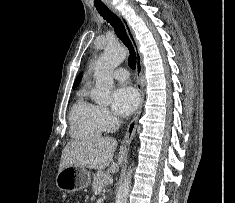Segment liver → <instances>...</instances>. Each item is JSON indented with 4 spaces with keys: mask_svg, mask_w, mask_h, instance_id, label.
<instances>
[{
    "mask_svg": "<svg viewBox=\"0 0 235 203\" xmlns=\"http://www.w3.org/2000/svg\"><path fill=\"white\" fill-rule=\"evenodd\" d=\"M116 148L117 141L110 137H92L69 142L62 151L59 171L69 166L103 170L112 161ZM125 157L126 148L121 147L118 162L110 166L109 172H118Z\"/></svg>",
    "mask_w": 235,
    "mask_h": 203,
    "instance_id": "6515ba94",
    "label": "liver"
}]
</instances>
